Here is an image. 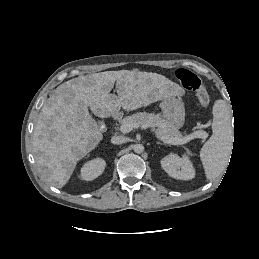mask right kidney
I'll use <instances>...</instances> for the list:
<instances>
[{
	"instance_id": "right-kidney-1",
	"label": "right kidney",
	"mask_w": 259,
	"mask_h": 259,
	"mask_svg": "<svg viewBox=\"0 0 259 259\" xmlns=\"http://www.w3.org/2000/svg\"><path fill=\"white\" fill-rule=\"evenodd\" d=\"M106 166V162L101 158L93 159L84 164L81 168V177L83 180L92 181L100 176Z\"/></svg>"
}]
</instances>
